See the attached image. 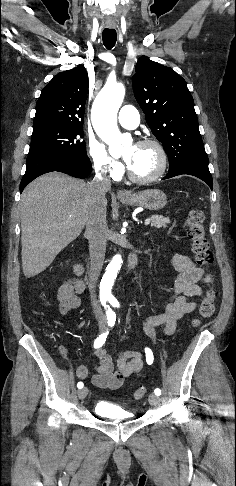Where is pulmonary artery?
<instances>
[{
  "label": "pulmonary artery",
  "instance_id": "e3ab8cb5",
  "mask_svg": "<svg viewBox=\"0 0 236 486\" xmlns=\"http://www.w3.org/2000/svg\"><path fill=\"white\" fill-rule=\"evenodd\" d=\"M140 121L137 109L132 105L123 106L118 114L119 124L127 129H134L138 126Z\"/></svg>",
  "mask_w": 236,
  "mask_h": 486
}]
</instances>
